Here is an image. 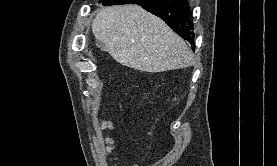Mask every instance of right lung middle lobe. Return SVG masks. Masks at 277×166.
<instances>
[{"mask_svg":"<svg viewBox=\"0 0 277 166\" xmlns=\"http://www.w3.org/2000/svg\"><path fill=\"white\" fill-rule=\"evenodd\" d=\"M114 1H116V0H103V5L104 6L108 5V4H110V3L114 2Z\"/></svg>","mask_w":277,"mask_h":166,"instance_id":"right-lung-middle-lobe-1","label":"right lung middle lobe"}]
</instances>
